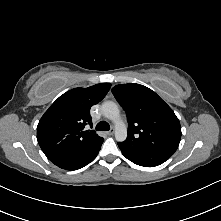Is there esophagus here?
I'll list each match as a JSON object with an SVG mask.
<instances>
[{
	"mask_svg": "<svg viewBox=\"0 0 221 221\" xmlns=\"http://www.w3.org/2000/svg\"><path fill=\"white\" fill-rule=\"evenodd\" d=\"M107 135L111 136L114 134V129H111L109 131L106 132Z\"/></svg>",
	"mask_w": 221,
	"mask_h": 221,
	"instance_id": "1",
	"label": "esophagus"
}]
</instances>
